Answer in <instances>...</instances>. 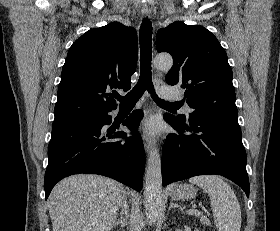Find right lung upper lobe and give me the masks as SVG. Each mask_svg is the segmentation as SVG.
Returning <instances> with one entry per match:
<instances>
[{"label":"right lung upper lobe","instance_id":"right-lung-upper-lobe-1","mask_svg":"<svg viewBox=\"0 0 280 231\" xmlns=\"http://www.w3.org/2000/svg\"><path fill=\"white\" fill-rule=\"evenodd\" d=\"M137 49L136 30L119 22L91 29L78 38L62 69L53 123L116 109L106 92L131 88Z\"/></svg>","mask_w":280,"mask_h":231}]
</instances>
